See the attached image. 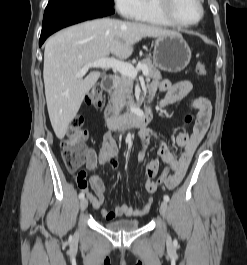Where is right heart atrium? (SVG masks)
<instances>
[{
  "instance_id": "obj_1",
  "label": "right heart atrium",
  "mask_w": 247,
  "mask_h": 265,
  "mask_svg": "<svg viewBox=\"0 0 247 265\" xmlns=\"http://www.w3.org/2000/svg\"><path fill=\"white\" fill-rule=\"evenodd\" d=\"M142 0H114L118 12L127 19H136L141 10Z\"/></svg>"
}]
</instances>
